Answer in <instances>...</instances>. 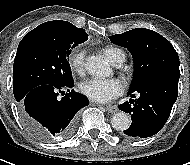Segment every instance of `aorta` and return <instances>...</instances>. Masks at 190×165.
<instances>
[{"label": "aorta", "mask_w": 190, "mask_h": 165, "mask_svg": "<svg viewBox=\"0 0 190 165\" xmlns=\"http://www.w3.org/2000/svg\"><path fill=\"white\" fill-rule=\"evenodd\" d=\"M86 70L93 76H108L111 72L109 64L100 56H89L85 64ZM131 120L124 112H118L111 118L112 127L118 131L127 130Z\"/></svg>", "instance_id": "aorta-1"}]
</instances>
